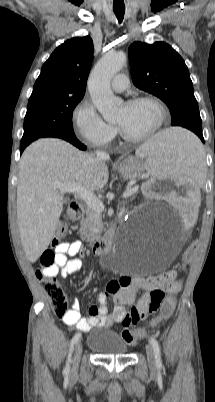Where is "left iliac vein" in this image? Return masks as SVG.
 <instances>
[{"label":"left iliac vein","mask_w":215,"mask_h":402,"mask_svg":"<svg viewBox=\"0 0 215 402\" xmlns=\"http://www.w3.org/2000/svg\"><path fill=\"white\" fill-rule=\"evenodd\" d=\"M146 354H147V360L148 364L151 370H155L156 364H155V355L153 348L151 347L150 344L146 345Z\"/></svg>","instance_id":"4c4485c4"}]
</instances>
